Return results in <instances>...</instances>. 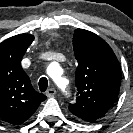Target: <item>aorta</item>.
Here are the masks:
<instances>
[{"label":"aorta","mask_w":133,"mask_h":133,"mask_svg":"<svg viewBox=\"0 0 133 133\" xmlns=\"http://www.w3.org/2000/svg\"><path fill=\"white\" fill-rule=\"evenodd\" d=\"M57 70H58V68H56V69L53 70V71H49V72H48L49 75H50L52 78L56 79V80H58V78L56 77V72H57Z\"/></svg>","instance_id":"762f6f07"}]
</instances>
